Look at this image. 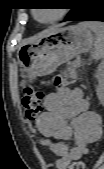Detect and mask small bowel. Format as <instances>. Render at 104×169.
Returning a JSON list of instances; mask_svg holds the SVG:
<instances>
[{
    "label": "small bowel",
    "mask_w": 104,
    "mask_h": 169,
    "mask_svg": "<svg viewBox=\"0 0 104 169\" xmlns=\"http://www.w3.org/2000/svg\"><path fill=\"white\" fill-rule=\"evenodd\" d=\"M45 108L36 120L41 143L58 156L57 169L88 153L89 145L102 135V120L90 110V102L78 88H60L45 96ZM74 139V146L66 142Z\"/></svg>",
    "instance_id": "1"
}]
</instances>
